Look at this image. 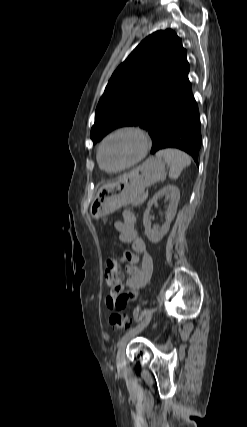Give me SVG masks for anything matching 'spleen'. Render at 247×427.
<instances>
[{
    "mask_svg": "<svg viewBox=\"0 0 247 427\" xmlns=\"http://www.w3.org/2000/svg\"><path fill=\"white\" fill-rule=\"evenodd\" d=\"M156 157L164 158L165 162L170 166L169 177L177 179L182 170L191 164L190 157L181 150L167 148L156 153Z\"/></svg>",
    "mask_w": 247,
    "mask_h": 427,
    "instance_id": "spleen-1",
    "label": "spleen"
}]
</instances>
